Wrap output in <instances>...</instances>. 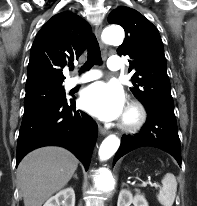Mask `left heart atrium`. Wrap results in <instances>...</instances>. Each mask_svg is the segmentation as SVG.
I'll return each instance as SVG.
<instances>
[{
    "label": "left heart atrium",
    "mask_w": 197,
    "mask_h": 206,
    "mask_svg": "<svg viewBox=\"0 0 197 206\" xmlns=\"http://www.w3.org/2000/svg\"><path fill=\"white\" fill-rule=\"evenodd\" d=\"M83 109L102 120H113L123 114L125 98L122 89L113 83L96 82L82 93Z\"/></svg>",
    "instance_id": "left-heart-atrium-1"
}]
</instances>
